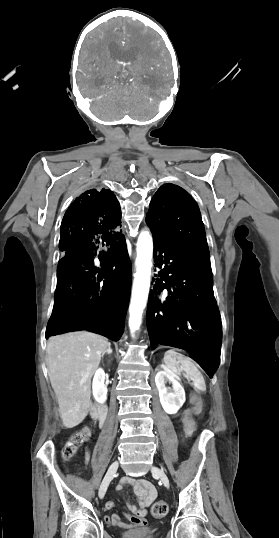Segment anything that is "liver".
I'll return each mask as SVG.
<instances>
[{
	"instance_id": "liver-1",
	"label": "liver",
	"mask_w": 279,
	"mask_h": 538,
	"mask_svg": "<svg viewBox=\"0 0 279 538\" xmlns=\"http://www.w3.org/2000/svg\"><path fill=\"white\" fill-rule=\"evenodd\" d=\"M108 346L106 338L91 332H70L49 338L48 376L66 428H75L85 420L90 406L91 378Z\"/></svg>"
}]
</instances>
